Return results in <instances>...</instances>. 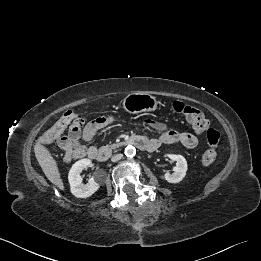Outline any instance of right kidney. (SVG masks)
<instances>
[{"label": "right kidney", "instance_id": "ca27d5eb", "mask_svg": "<svg viewBox=\"0 0 261 261\" xmlns=\"http://www.w3.org/2000/svg\"><path fill=\"white\" fill-rule=\"evenodd\" d=\"M91 165V160L81 159L71 167L68 175L71 193L77 198H87L94 194L100 187V183L94 177L90 178L87 184L82 183L80 173Z\"/></svg>", "mask_w": 261, "mask_h": 261}]
</instances>
